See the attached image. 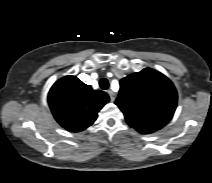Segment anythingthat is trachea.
Instances as JSON below:
<instances>
[{
  "mask_svg": "<svg viewBox=\"0 0 212 183\" xmlns=\"http://www.w3.org/2000/svg\"><path fill=\"white\" fill-rule=\"evenodd\" d=\"M99 86L101 87V89L107 90L109 88V82H108V80L106 78L100 79Z\"/></svg>",
  "mask_w": 212,
  "mask_h": 183,
  "instance_id": "trachea-1",
  "label": "trachea"
}]
</instances>
